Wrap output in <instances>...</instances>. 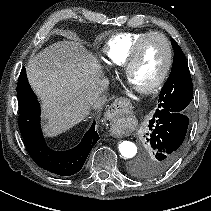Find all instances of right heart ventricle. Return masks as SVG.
Masks as SVG:
<instances>
[{
	"label": "right heart ventricle",
	"mask_w": 211,
	"mask_h": 211,
	"mask_svg": "<svg viewBox=\"0 0 211 211\" xmlns=\"http://www.w3.org/2000/svg\"><path fill=\"white\" fill-rule=\"evenodd\" d=\"M147 31L125 32L114 35L103 48L105 61L114 67H124L133 46Z\"/></svg>",
	"instance_id": "1"
}]
</instances>
